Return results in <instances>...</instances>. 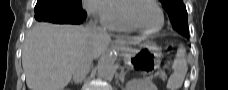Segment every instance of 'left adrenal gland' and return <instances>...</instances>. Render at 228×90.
<instances>
[{"mask_svg": "<svg viewBox=\"0 0 228 90\" xmlns=\"http://www.w3.org/2000/svg\"><path fill=\"white\" fill-rule=\"evenodd\" d=\"M126 72L124 70H121L118 79L121 81V83H124V78H125Z\"/></svg>", "mask_w": 228, "mask_h": 90, "instance_id": "left-adrenal-gland-1", "label": "left adrenal gland"}]
</instances>
